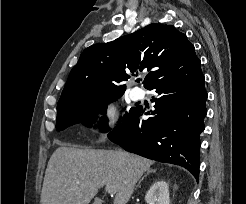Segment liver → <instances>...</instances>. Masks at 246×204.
<instances>
[{
	"label": "liver",
	"mask_w": 246,
	"mask_h": 204,
	"mask_svg": "<svg viewBox=\"0 0 246 204\" xmlns=\"http://www.w3.org/2000/svg\"><path fill=\"white\" fill-rule=\"evenodd\" d=\"M153 163L121 150L59 147L48 161L41 204H89L104 185L115 190L113 204H127Z\"/></svg>",
	"instance_id": "liver-1"
}]
</instances>
